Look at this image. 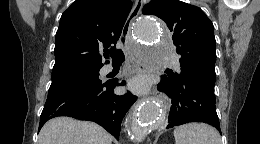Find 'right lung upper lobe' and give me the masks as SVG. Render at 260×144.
Masks as SVG:
<instances>
[{
    "mask_svg": "<svg viewBox=\"0 0 260 144\" xmlns=\"http://www.w3.org/2000/svg\"><path fill=\"white\" fill-rule=\"evenodd\" d=\"M132 8L130 0H76L62 14L56 33L53 71L70 67H102Z\"/></svg>",
    "mask_w": 260,
    "mask_h": 144,
    "instance_id": "cb5924a9",
    "label": "right lung upper lobe"
}]
</instances>
